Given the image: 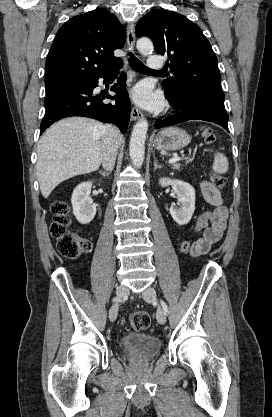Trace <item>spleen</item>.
Here are the masks:
<instances>
[{
    "label": "spleen",
    "instance_id": "3e777b00",
    "mask_svg": "<svg viewBox=\"0 0 272 417\" xmlns=\"http://www.w3.org/2000/svg\"><path fill=\"white\" fill-rule=\"evenodd\" d=\"M213 170L219 174H224L228 171L229 163L228 159L222 153H216L214 155Z\"/></svg>",
    "mask_w": 272,
    "mask_h": 417
}]
</instances>
